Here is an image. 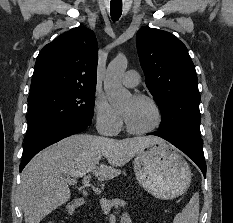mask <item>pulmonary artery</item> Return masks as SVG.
<instances>
[{"instance_id":"e3ab8cb5","label":"pulmonary artery","mask_w":233,"mask_h":223,"mask_svg":"<svg viewBox=\"0 0 233 223\" xmlns=\"http://www.w3.org/2000/svg\"><path fill=\"white\" fill-rule=\"evenodd\" d=\"M140 75L136 70H128L123 76V83L129 88L139 84Z\"/></svg>"}]
</instances>
